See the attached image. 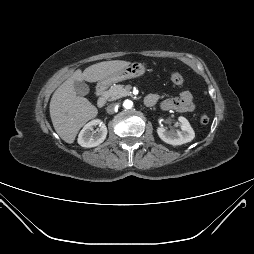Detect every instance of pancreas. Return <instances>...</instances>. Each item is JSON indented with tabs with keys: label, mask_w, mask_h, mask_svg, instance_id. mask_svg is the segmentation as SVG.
Returning <instances> with one entry per match:
<instances>
[{
	"label": "pancreas",
	"mask_w": 254,
	"mask_h": 254,
	"mask_svg": "<svg viewBox=\"0 0 254 254\" xmlns=\"http://www.w3.org/2000/svg\"><path fill=\"white\" fill-rule=\"evenodd\" d=\"M130 87L124 85H114L109 90L104 92V97L108 101H114L121 97L130 96Z\"/></svg>",
	"instance_id": "pancreas-1"
}]
</instances>
